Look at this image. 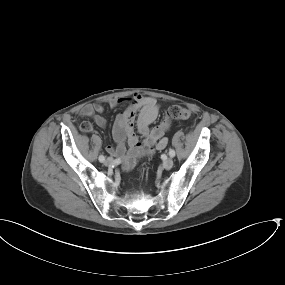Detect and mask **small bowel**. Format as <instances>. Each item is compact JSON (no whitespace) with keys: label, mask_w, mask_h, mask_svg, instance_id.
Instances as JSON below:
<instances>
[{"label":"small bowel","mask_w":285,"mask_h":285,"mask_svg":"<svg viewBox=\"0 0 285 285\" xmlns=\"http://www.w3.org/2000/svg\"><path fill=\"white\" fill-rule=\"evenodd\" d=\"M120 102L126 104L125 109L119 116L114 125L113 136L116 146H108V151L122 157V167L125 170L133 169L141 156H149L155 150H163L168 144L165 133L171 126V121L165 117L158 125L150 128L151 123L156 119L161 104L152 97L135 94L123 100L109 101L111 108L117 107ZM104 106L100 103L84 105L80 110V116L93 117L94 122L100 127H106L108 120L98 114L103 112ZM83 132H90L92 124L83 122L80 125ZM135 130L142 137L140 142ZM128 144V149L125 147Z\"/></svg>","instance_id":"small-bowel-1"}]
</instances>
